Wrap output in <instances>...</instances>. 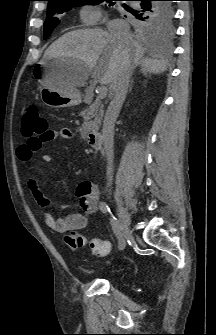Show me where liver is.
Wrapping results in <instances>:
<instances>
[{"instance_id": "1", "label": "liver", "mask_w": 216, "mask_h": 335, "mask_svg": "<svg viewBox=\"0 0 216 335\" xmlns=\"http://www.w3.org/2000/svg\"><path fill=\"white\" fill-rule=\"evenodd\" d=\"M124 57L132 64L140 65L141 71L159 74L166 71V63L144 57V49L137 41L117 43L106 30L80 29L70 31L53 42L45 51L43 61L62 58L76 61L77 64L66 76L69 87L83 86L90 74L95 82L107 85L113 92L114 81Z\"/></svg>"}]
</instances>
